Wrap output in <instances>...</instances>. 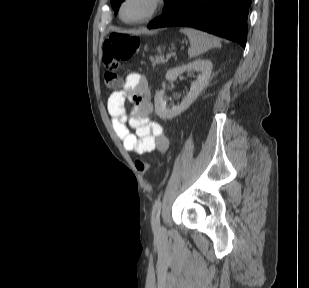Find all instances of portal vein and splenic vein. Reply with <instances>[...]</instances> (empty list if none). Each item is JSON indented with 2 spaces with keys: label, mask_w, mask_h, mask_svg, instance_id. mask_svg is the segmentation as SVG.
<instances>
[{
  "label": "portal vein and splenic vein",
  "mask_w": 309,
  "mask_h": 288,
  "mask_svg": "<svg viewBox=\"0 0 309 288\" xmlns=\"http://www.w3.org/2000/svg\"><path fill=\"white\" fill-rule=\"evenodd\" d=\"M171 57V53L166 54V58L169 59Z\"/></svg>",
  "instance_id": "portal-vein-and-splenic-vein-1"
}]
</instances>
